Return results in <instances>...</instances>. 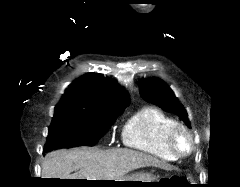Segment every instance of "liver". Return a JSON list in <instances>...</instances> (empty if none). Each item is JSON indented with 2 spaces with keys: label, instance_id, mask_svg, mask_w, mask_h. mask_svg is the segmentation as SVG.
I'll return each instance as SVG.
<instances>
[{
  "label": "liver",
  "instance_id": "obj_1",
  "mask_svg": "<svg viewBox=\"0 0 240 187\" xmlns=\"http://www.w3.org/2000/svg\"><path fill=\"white\" fill-rule=\"evenodd\" d=\"M148 166L165 167L158 159L129 149H61L46 154L42 178L117 180L132 170Z\"/></svg>",
  "mask_w": 240,
  "mask_h": 187
}]
</instances>
